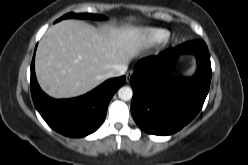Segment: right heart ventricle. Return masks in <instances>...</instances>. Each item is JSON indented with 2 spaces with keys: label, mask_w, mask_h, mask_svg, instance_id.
<instances>
[{
  "label": "right heart ventricle",
  "mask_w": 248,
  "mask_h": 165,
  "mask_svg": "<svg viewBox=\"0 0 248 165\" xmlns=\"http://www.w3.org/2000/svg\"><path fill=\"white\" fill-rule=\"evenodd\" d=\"M169 35V32L164 29H148L146 38L152 44H157L164 41Z\"/></svg>",
  "instance_id": "e07e8e85"
}]
</instances>
